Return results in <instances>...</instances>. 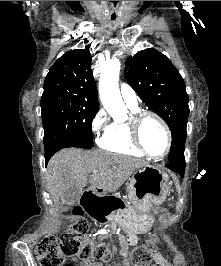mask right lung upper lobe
Masks as SVG:
<instances>
[{
    "label": "right lung upper lobe",
    "mask_w": 221,
    "mask_h": 266,
    "mask_svg": "<svg viewBox=\"0 0 221 266\" xmlns=\"http://www.w3.org/2000/svg\"><path fill=\"white\" fill-rule=\"evenodd\" d=\"M43 88L44 92L60 91L75 95L88 106L98 108V93L88 47L62 55L50 68Z\"/></svg>",
    "instance_id": "1"
}]
</instances>
